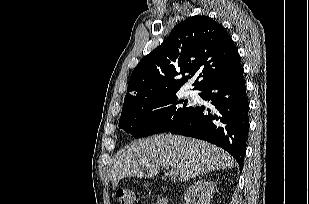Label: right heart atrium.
I'll return each mask as SVG.
<instances>
[{"label": "right heart atrium", "instance_id": "1", "mask_svg": "<svg viewBox=\"0 0 309 204\" xmlns=\"http://www.w3.org/2000/svg\"><path fill=\"white\" fill-rule=\"evenodd\" d=\"M156 114L158 115V114H159V112H158V111H156Z\"/></svg>", "mask_w": 309, "mask_h": 204}]
</instances>
